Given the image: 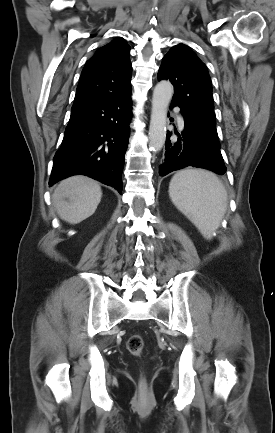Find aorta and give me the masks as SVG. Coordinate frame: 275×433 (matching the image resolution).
<instances>
[{
	"label": "aorta",
	"instance_id": "obj_1",
	"mask_svg": "<svg viewBox=\"0 0 275 433\" xmlns=\"http://www.w3.org/2000/svg\"><path fill=\"white\" fill-rule=\"evenodd\" d=\"M173 95V86L168 80L157 83L152 96V110L149 127V146L157 152L166 140L167 110Z\"/></svg>",
	"mask_w": 275,
	"mask_h": 433
}]
</instances>
